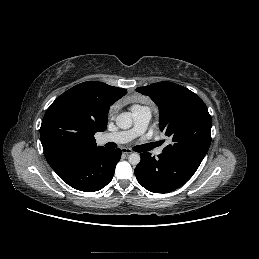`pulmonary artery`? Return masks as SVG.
Instances as JSON below:
<instances>
[{
    "instance_id": "pulmonary-artery-1",
    "label": "pulmonary artery",
    "mask_w": 259,
    "mask_h": 259,
    "mask_svg": "<svg viewBox=\"0 0 259 259\" xmlns=\"http://www.w3.org/2000/svg\"><path fill=\"white\" fill-rule=\"evenodd\" d=\"M132 116L134 119V126L126 131H119L115 133H106L100 137L102 143H118L124 144L130 142L132 139L142 134L150 121L151 111L148 107H135L132 108ZM163 151L162 148H157L155 154L159 155Z\"/></svg>"
}]
</instances>
